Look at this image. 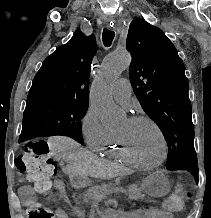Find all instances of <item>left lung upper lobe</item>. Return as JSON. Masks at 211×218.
<instances>
[{"instance_id": "left-lung-upper-lobe-1", "label": "left lung upper lobe", "mask_w": 211, "mask_h": 218, "mask_svg": "<svg viewBox=\"0 0 211 218\" xmlns=\"http://www.w3.org/2000/svg\"><path fill=\"white\" fill-rule=\"evenodd\" d=\"M126 49L132 56L134 93L167 142V169L188 170L198 180L189 84L176 48L162 30L136 18L129 26Z\"/></svg>"}]
</instances>
